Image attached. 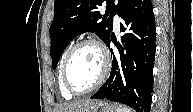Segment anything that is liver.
Segmentation results:
<instances>
[{"instance_id": "liver-1", "label": "liver", "mask_w": 193, "mask_h": 112, "mask_svg": "<svg viewBox=\"0 0 193 112\" xmlns=\"http://www.w3.org/2000/svg\"><path fill=\"white\" fill-rule=\"evenodd\" d=\"M95 101L93 100H78L70 103H65L56 109V112H82L90 107Z\"/></svg>"}]
</instances>
